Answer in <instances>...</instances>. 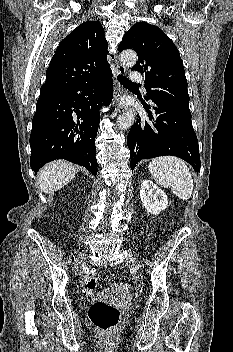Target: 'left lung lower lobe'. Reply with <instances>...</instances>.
Segmentation results:
<instances>
[{"label": "left lung lower lobe", "instance_id": "0a47b994", "mask_svg": "<svg viewBox=\"0 0 233 352\" xmlns=\"http://www.w3.org/2000/svg\"><path fill=\"white\" fill-rule=\"evenodd\" d=\"M139 99L149 117H138L128 134L131 169L142 159L172 155L185 160L199 172V146L190 110L154 97L148 98L151 105Z\"/></svg>", "mask_w": 233, "mask_h": 352}]
</instances>
